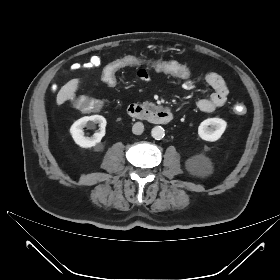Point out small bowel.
I'll use <instances>...</instances> for the list:
<instances>
[{"label": "small bowel", "instance_id": "1", "mask_svg": "<svg viewBox=\"0 0 280 280\" xmlns=\"http://www.w3.org/2000/svg\"><path fill=\"white\" fill-rule=\"evenodd\" d=\"M185 65V64H184ZM101 66V61L98 57H92L86 63V69H97ZM137 76L140 80L146 81L149 79L148 69L138 68ZM204 80L213 89V93L209 96L201 98L197 102V108L202 112H213L217 108L223 106L227 101L229 88L226 80L216 72H207L204 74ZM197 78L191 77L186 82H181V86L185 90L194 88Z\"/></svg>", "mask_w": 280, "mask_h": 280}]
</instances>
